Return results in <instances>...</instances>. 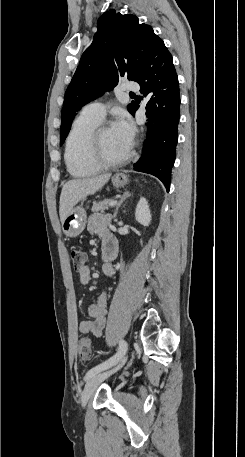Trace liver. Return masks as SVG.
Here are the masks:
<instances>
[{"label":"liver","instance_id":"obj_1","mask_svg":"<svg viewBox=\"0 0 245 457\" xmlns=\"http://www.w3.org/2000/svg\"><path fill=\"white\" fill-rule=\"evenodd\" d=\"M111 172L109 174H99V176H93V178H74V180H68L63 184L61 196L59 214L60 220L63 222L73 206L82 200L87 194H94L101 186L106 184L109 180Z\"/></svg>","mask_w":245,"mask_h":457}]
</instances>
